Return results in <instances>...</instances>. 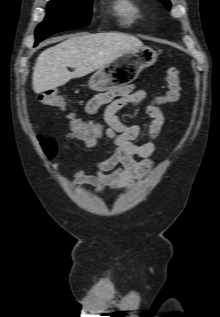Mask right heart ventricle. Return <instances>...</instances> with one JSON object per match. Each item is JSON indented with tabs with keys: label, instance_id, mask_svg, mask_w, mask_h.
Here are the masks:
<instances>
[{
	"label": "right heart ventricle",
	"instance_id": "e07e8e85",
	"mask_svg": "<svg viewBox=\"0 0 220 317\" xmlns=\"http://www.w3.org/2000/svg\"><path fill=\"white\" fill-rule=\"evenodd\" d=\"M114 8L122 27H132L141 18L140 9L133 0H117Z\"/></svg>",
	"mask_w": 220,
	"mask_h": 317
}]
</instances>
